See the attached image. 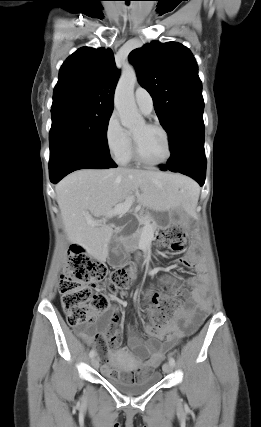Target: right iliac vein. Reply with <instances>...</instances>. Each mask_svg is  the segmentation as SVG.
<instances>
[{"label":"right iliac vein","mask_w":261,"mask_h":427,"mask_svg":"<svg viewBox=\"0 0 261 427\" xmlns=\"http://www.w3.org/2000/svg\"><path fill=\"white\" fill-rule=\"evenodd\" d=\"M91 364L94 368H98L99 367V360L96 357H93L91 359Z\"/></svg>","instance_id":"1"}]
</instances>
